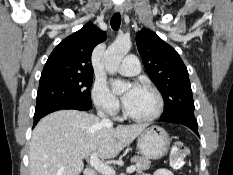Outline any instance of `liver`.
Listing matches in <instances>:
<instances>
[{"instance_id":"obj_1","label":"liver","mask_w":233,"mask_h":175,"mask_svg":"<svg viewBox=\"0 0 233 175\" xmlns=\"http://www.w3.org/2000/svg\"><path fill=\"white\" fill-rule=\"evenodd\" d=\"M145 124L113 127L93 114L77 110L53 112L33 130L30 175H79L83 159L97 154L101 159L116 157L145 129Z\"/></svg>"}]
</instances>
